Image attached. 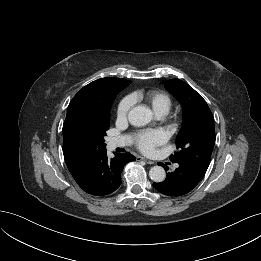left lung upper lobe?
<instances>
[{"mask_svg": "<svg viewBox=\"0 0 261 261\" xmlns=\"http://www.w3.org/2000/svg\"><path fill=\"white\" fill-rule=\"evenodd\" d=\"M164 84L184 109L182 127L176 138L178 151L170 159L185 164L203 178L215 144L212 113L202 96L186 82L171 79Z\"/></svg>", "mask_w": 261, "mask_h": 261, "instance_id": "left-lung-upper-lobe-1", "label": "left lung upper lobe"}]
</instances>
